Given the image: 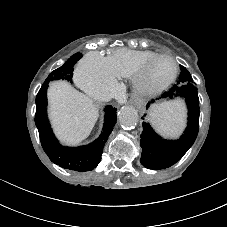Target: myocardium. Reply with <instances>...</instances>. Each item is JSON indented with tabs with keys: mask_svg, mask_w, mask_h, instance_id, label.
<instances>
[{
	"mask_svg": "<svg viewBox=\"0 0 227 227\" xmlns=\"http://www.w3.org/2000/svg\"><path fill=\"white\" fill-rule=\"evenodd\" d=\"M159 60H167L171 64V72L165 79H157L153 75V66ZM177 64L173 57L167 54H157L148 60L133 77L134 90L141 96H153L167 89L177 75Z\"/></svg>",
	"mask_w": 227,
	"mask_h": 227,
	"instance_id": "obj_1",
	"label": "myocardium"
}]
</instances>
